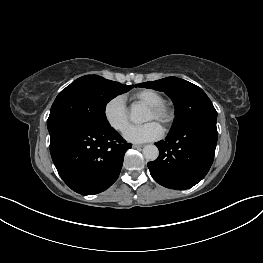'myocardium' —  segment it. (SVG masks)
I'll return each mask as SVG.
<instances>
[{
	"label": "myocardium",
	"mask_w": 263,
	"mask_h": 263,
	"mask_svg": "<svg viewBox=\"0 0 263 263\" xmlns=\"http://www.w3.org/2000/svg\"><path fill=\"white\" fill-rule=\"evenodd\" d=\"M148 109L155 114L159 123H161L164 127H169L174 121L175 111L173 107L165 102L148 106Z\"/></svg>",
	"instance_id": "1"
}]
</instances>
